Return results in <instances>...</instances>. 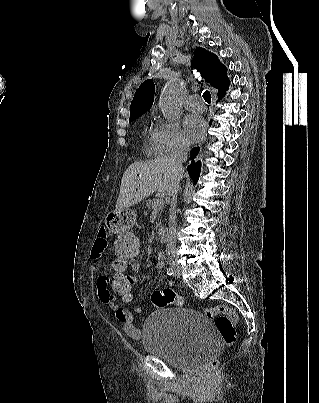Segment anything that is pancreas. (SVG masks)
I'll list each match as a JSON object with an SVG mask.
<instances>
[{"label": "pancreas", "mask_w": 319, "mask_h": 403, "mask_svg": "<svg viewBox=\"0 0 319 403\" xmlns=\"http://www.w3.org/2000/svg\"><path fill=\"white\" fill-rule=\"evenodd\" d=\"M159 200L160 199H156V198L148 199L147 202H146V207L148 209L153 210V212H156V213L162 212L163 209H164V202H162V205L157 206V202ZM157 225L160 226V222H158Z\"/></svg>", "instance_id": "pancreas-1"}]
</instances>
